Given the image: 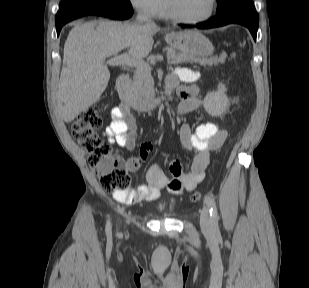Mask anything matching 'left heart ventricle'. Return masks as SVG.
Segmentation results:
<instances>
[{"label": "left heart ventricle", "instance_id": "b2bd125f", "mask_svg": "<svg viewBox=\"0 0 309 288\" xmlns=\"http://www.w3.org/2000/svg\"><path fill=\"white\" fill-rule=\"evenodd\" d=\"M176 14L188 19L206 15L210 9V0H170Z\"/></svg>", "mask_w": 309, "mask_h": 288}]
</instances>
